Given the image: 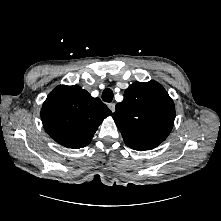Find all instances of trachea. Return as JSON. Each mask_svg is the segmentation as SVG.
Instances as JSON below:
<instances>
[{
  "label": "trachea",
  "mask_w": 221,
  "mask_h": 221,
  "mask_svg": "<svg viewBox=\"0 0 221 221\" xmlns=\"http://www.w3.org/2000/svg\"><path fill=\"white\" fill-rule=\"evenodd\" d=\"M114 94L113 91L109 88L104 89L102 93V100L104 102H111L113 100Z\"/></svg>",
  "instance_id": "obj_1"
}]
</instances>
